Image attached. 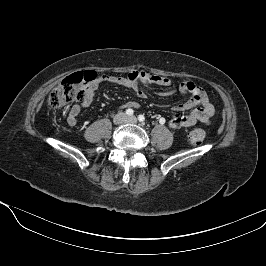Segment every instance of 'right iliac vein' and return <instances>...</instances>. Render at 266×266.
Returning a JSON list of instances; mask_svg holds the SVG:
<instances>
[{
	"mask_svg": "<svg viewBox=\"0 0 266 266\" xmlns=\"http://www.w3.org/2000/svg\"><path fill=\"white\" fill-rule=\"evenodd\" d=\"M127 120V117L124 113H118L114 119H113V122L115 124H121V123H124L125 121Z\"/></svg>",
	"mask_w": 266,
	"mask_h": 266,
	"instance_id": "obj_1",
	"label": "right iliac vein"
}]
</instances>
